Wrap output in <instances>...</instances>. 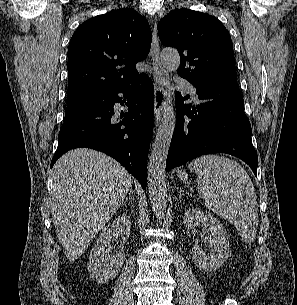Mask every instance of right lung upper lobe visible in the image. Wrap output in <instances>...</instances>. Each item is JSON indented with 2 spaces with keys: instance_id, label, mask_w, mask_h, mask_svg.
<instances>
[{
  "instance_id": "cb5924a9",
  "label": "right lung upper lobe",
  "mask_w": 297,
  "mask_h": 305,
  "mask_svg": "<svg viewBox=\"0 0 297 305\" xmlns=\"http://www.w3.org/2000/svg\"><path fill=\"white\" fill-rule=\"evenodd\" d=\"M151 40L147 20L130 8L82 23L68 48L67 103L107 95L140 78L135 64L147 57Z\"/></svg>"
}]
</instances>
